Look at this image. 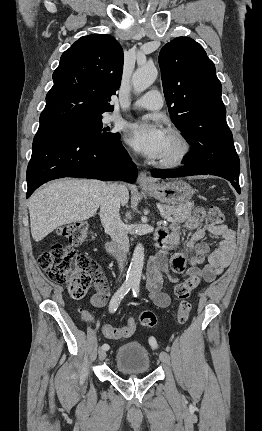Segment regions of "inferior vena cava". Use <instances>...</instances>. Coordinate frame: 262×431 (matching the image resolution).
<instances>
[{
    "mask_svg": "<svg viewBox=\"0 0 262 431\" xmlns=\"http://www.w3.org/2000/svg\"><path fill=\"white\" fill-rule=\"evenodd\" d=\"M125 186L118 183L108 184L106 194L100 205V218L106 232L117 244L119 251V269H123V261L129 251L128 231L119 215L120 194Z\"/></svg>",
    "mask_w": 262,
    "mask_h": 431,
    "instance_id": "602c4592",
    "label": "inferior vena cava"
}]
</instances>
